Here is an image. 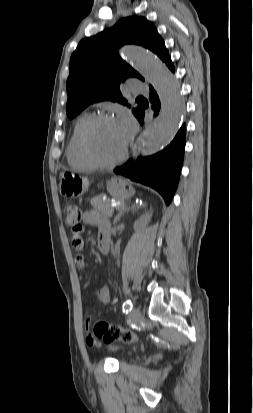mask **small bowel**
<instances>
[{"label":"small bowel","instance_id":"c3829d8e","mask_svg":"<svg viewBox=\"0 0 253 413\" xmlns=\"http://www.w3.org/2000/svg\"><path fill=\"white\" fill-rule=\"evenodd\" d=\"M82 220L85 224H92L96 225L99 228V235L101 233L110 232V224L108 221V218L97 211H86L83 213ZM80 231L81 227H77L74 229V234L72 237V245L73 248L76 251H80L82 249L83 243H82V238L80 236ZM76 263L79 267H84L85 262L84 258L82 257L81 254L76 255ZM93 295L96 297V299L103 303L107 304L110 301V293L107 287H99L97 288L94 292ZM91 318L88 319L87 325H89ZM86 342L89 346H99L100 342L92 336L90 333L88 326H87V337H86Z\"/></svg>","mask_w":253,"mask_h":413}]
</instances>
